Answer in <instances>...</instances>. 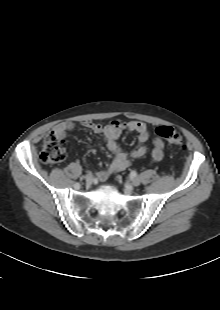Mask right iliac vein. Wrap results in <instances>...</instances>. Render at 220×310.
Listing matches in <instances>:
<instances>
[{
	"label": "right iliac vein",
	"instance_id": "1",
	"mask_svg": "<svg viewBox=\"0 0 220 310\" xmlns=\"http://www.w3.org/2000/svg\"><path fill=\"white\" fill-rule=\"evenodd\" d=\"M85 181H86L87 185H91L93 182V175H91V174L86 175Z\"/></svg>",
	"mask_w": 220,
	"mask_h": 310
}]
</instances>
